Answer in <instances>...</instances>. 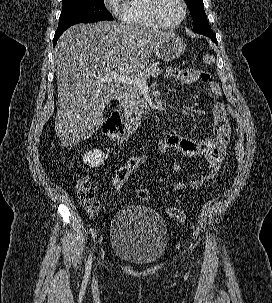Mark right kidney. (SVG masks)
Segmentation results:
<instances>
[{
  "instance_id": "ca27d5eb",
  "label": "right kidney",
  "mask_w": 272,
  "mask_h": 303,
  "mask_svg": "<svg viewBox=\"0 0 272 303\" xmlns=\"http://www.w3.org/2000/svg\"><path fill=\"white\" fill-rule=\"evenodd\" d=\"M83 162L93 168L100 167L105 161V154L99 149L86 152L82 156Z\"/></svg>"
}]
</instances>
